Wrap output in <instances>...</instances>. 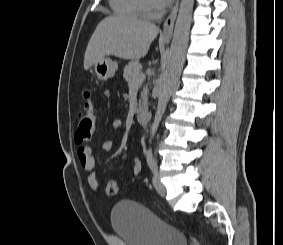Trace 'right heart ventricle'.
Instances as JSON below:
<instances>
[{
	"label": "right heart ventricle",
	"mask_w": 283,
	"mask_h": 245,
	"mask_svg": "<svg viewBox=\"0 0 283 245\" xmlns=\"http://www.w3.org/2000/svg\"><path fill=\"white\" fill-rule=\"evenodd\" d=\"M112 10L119 15L136 17L140 15L138 0H109Z\"/></svg>",
	"instance_id": "1"
}]
</instances>
